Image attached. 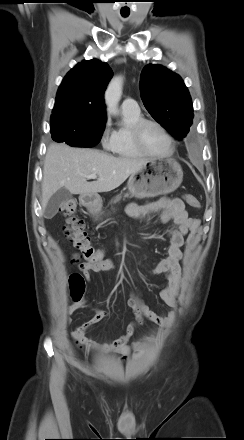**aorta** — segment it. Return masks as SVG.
Segmentation results:
<instances>
[{"instance_id":"762f6f07","label":"aorta","mask_w":244,"mask_h":440,"mask_svg":"<svg viewBox=\"0 0 244 440\" xmlns=\"http://www.w3.org/2000/svg\"><path fill=\"white\" fill-rule=\"evenodd\" d=\"M123 78L118 76L111 80L105 91V104L107 106L108 113L117 115L118 103L122 95Z\"/></svg>"}]
</instances>
